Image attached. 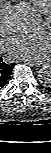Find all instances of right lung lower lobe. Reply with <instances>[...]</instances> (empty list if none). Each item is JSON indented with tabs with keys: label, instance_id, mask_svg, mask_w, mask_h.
<instances>
[{
	"label": "right lung lower lobe",
	"instance_id": "1",
	"mask_svg": "<svg viewBox=\"0 0 51 153\" xmlns=\"http://www.w3.org/2000/svg\"><path fill=\"white\" fill-rule=\"evenodd\" d=\"M14 66L15 63L7 64L3 62L2 58L0 57V89L8 81Z\"/></svg>",
	"mask_w": 51,
	"mask_h": 153
}]
</instances>
